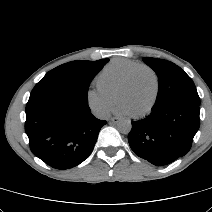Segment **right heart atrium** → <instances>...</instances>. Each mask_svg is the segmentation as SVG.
<instances>
[{
	"label": "right heart atrium",
	"mask_w": 212,
	"mask_h": 212,
	"mask_svg": "<svg viewBox=\"0 0 212 212\" xmlns=\"http://www.w3.org/2000/svg\"><path fill=\"white\" fill-rule=\"evenodd\" d=\"M86 101L89 108L96 115L106 116L112 110L115 99L112 94L98 87L97 89L88 90L86 94Z\"/></svg>",
	"instance_id": "obj_1"
}]
</instances>
